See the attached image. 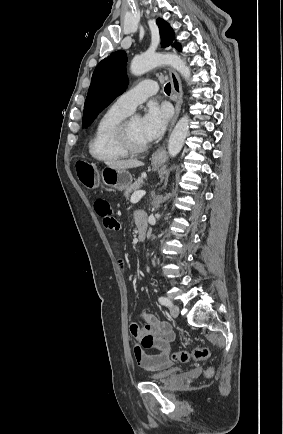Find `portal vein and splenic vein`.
<instances>
[{
  "label": "portal vein and splenic vein",
  "mask_w": 283,
  "mask_h": 434,
  "mask_svg": "<svg viewBox=\"0 0 283 434\" xmlns=\"http://www.w3.org/2000/svg\"><path fill=\"white\" fill-rule=\"evenodd\" d=\"M145 193V191H137L133 193L130 199L131 203L135 204L139 202V200L145 195Z\"/></svg>",
  "instance_id": "obj_1"
}]
</instances>
